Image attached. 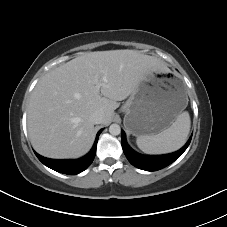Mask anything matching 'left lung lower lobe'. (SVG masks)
Listing matches in <instances>:
<instances>
[{"label": "left lung lower lobe", "mask_w": 227, "mask_h": 227, "mask_svg": "<svg viewBox=\"0 0 227 227\" xmlns=\"http://www.w3.org/2000/svg\"><path fill=\"white\" fill-rule=\"evenodd\" d=\"M191 138L192 137H190L188 142L177 152L159 156H146L132 150L126 142L124 131L121 132V144L127 159L135 167L146 171H157L173 163L187 149Z\"/></svg>", "instance_id": "left-lung-lower-lobe-1"}]
</instances>
